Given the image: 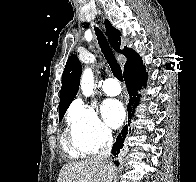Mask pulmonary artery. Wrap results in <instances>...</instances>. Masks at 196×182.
Here are the masks:
<instances>
[{"label": "pulmonary artery", "mask_w": 196, "mask_h": 182, "mask_svg": "<svg viewBox=\"0 0 196 182\" xmlns=\"http://www.w3.org/2000/svg\"><path fill=\"white\" fill-rule=\"evenodd\" d=\"M102 89L105 94L109 96H116L121 92V86L114 77H108L105 79Z\"/></svg>", "instance_id": "e3ab8cb5"}]
</instances>
